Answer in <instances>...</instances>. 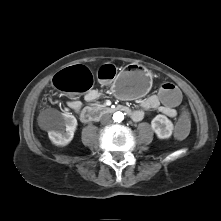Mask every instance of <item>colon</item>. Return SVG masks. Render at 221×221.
Instances as JSON below:
<instances>
[{
	"label": "colon",
	"mask_w": 221,
	"mask_h": 221,
	"mask_svg": "<svg viewBox=\"0 0 221 221\" xmlns=\"http://www.w3.org/2000/svg\"><path fill=\"white\" fill-rule=\"evenodd\" d=\"M116 75V68L111 64L102 65L97 71L98 79L102 81L112 80ZM94 78L88 68L76 65L59 72L53 79L54 86L66 93H81L91 90ZM158 98L168 109H177L183 103V94L178 87L171 82L162 83L157 90ZM40 106V105H39ZM39 108V107H38ZM192 122L189 119V112L182 109L181 117L176 122L173 136L182 140L190 133Z\"/></svg>",
	"instance_id": "1"
}]
</instances>
